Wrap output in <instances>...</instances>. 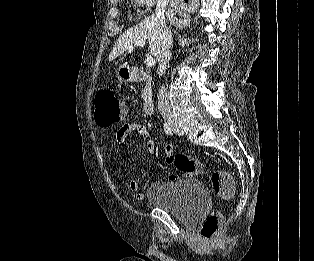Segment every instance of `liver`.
<instances>
[{
  "label": "liver",
  "mask_w": 314,
  "mask_h": 261,
  "mask_svg": "<svg viewBox=\"0 0 314 261\" xmlns=\"http://www.w3.org/2000/svg\"><path fill=\"white\" fill-rule=\"evenodd\" d=\"M148 41L150 54L160 60L161 54L166 47V32L161 27L155 16L146 17L139 24L125 31L116 41L110 55L109 61L128 50V47L134 46L138 41ZM127 63L119 66L125 67Z\"/></svg>",
  "instance_id": "obj_1"
}]
</instances>
